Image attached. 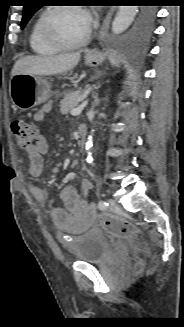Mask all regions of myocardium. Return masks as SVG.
Returning <instances> with one entry per match:
<instances>
[{
  "mask_svg": "<svg viewBox=\"0 0 184 327\" xmlns=\"http://www.w3.org/2000/svg\"><path fill=\"white\" fill-rule=\"evenodd\" d=\"M66 9H78L82 10L81 7L77 6H66V5H58L50 7L44 14L42 19V32L46 40L51 43L52 45L56 46L61 50H68V49H76L79 47L84 46L91 38L92 35V27L89 24V28L87 33L78 41L69 42L63 39L55 30L53 19L55 13L58 11L66 10Z\"/></svg>",
  "mask_w": 184,
  "mask_h": 327,
  "instance_id": "f54148a6",
  "label": "myocardium"
}]
</instances>
